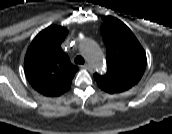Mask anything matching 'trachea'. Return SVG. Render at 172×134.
Here are the masks:
<instances>
[{
	"label": "trachea",
	"instance_id": "obj_1",
	"mask_svg": "<svg viewBox=\"0 0 172 134\" xmlns=\"http://www.w3.org/2000/svg\"><path fill=\"white\" fill-rule=\"evenodd\" d=\"M84 62L85 61H84L82 56H80V55L76 56V58H75V63L76 64H84Z\"/></svg>",
	"mask_w": 172,
	"mask_h": 134
}]
</instances>
